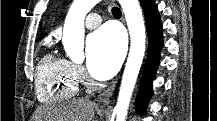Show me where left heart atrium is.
<instances>
[{
    "label": "left heart atrium",
    "mask_w": 217,
    "mask_h": 121,
    "mask_svg": "<svg viewBox=\"0 0 217 121\" xmlns=\"http://www.w3.org/2000/svg\"><path fill=\"white\" fill-rule=\"evenodd\" d=\"M125 37L121 29L107 24L94 32L87 41L86 58L90 74L108 79L118 70L125 54Z\"/></svg>",
    "instance_id": "left-heart-atrium-1"
}]
</instances>
